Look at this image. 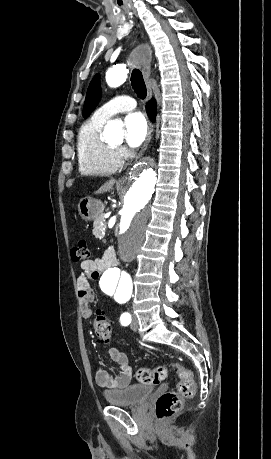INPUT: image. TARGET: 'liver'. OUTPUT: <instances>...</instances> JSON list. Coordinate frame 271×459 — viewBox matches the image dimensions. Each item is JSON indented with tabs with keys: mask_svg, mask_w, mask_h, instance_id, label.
I'll return each mask as SVG.
<instances>
[{
	"mask_svg": "<svg viewBox=\"0 0 271 459\" xmlns=\"http://www.w3.org/2000/svg\"><path fill=\"white\" fill-rule=\"evenodd\" d=\"M116 180H109V182H106L104 186H101L97 192H94V194H104V192H109V190H112Z\"/></svg>",
	"mask_w": 271,
	"mask_h": 459,
	"instance_id": "1",
	"label": "liver"
}]
</instances>
